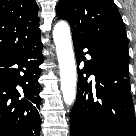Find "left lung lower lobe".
<instances>
[{
	"mask_svg": "<svg viewBox=\"0 0 136 136\" xmlns=\"http://www.w3.org/2000/svg\"><path fill=\"white\" fill-rule=\"evenodd\" d=\"M78 66L77 99L71 112V136H136V118L130 95L128 63L108 48L73 38ZM85 74V75H84ZM93 74L95 82L88 81Z\"/></svg>",
	"mask_w": 136,
	"mask_h": 136,
	"instance_id": "0a47b994",
	"label": "left lung lower lobe"
}]
</instances>
